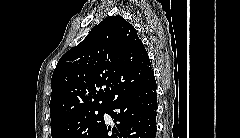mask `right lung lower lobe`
<instances>
[{"label":"right lung lower lobe","instance_id":"1","mask_svg":"<svg viewBox=\"0 0 240 138\" xmlns=\"http://www.w3.org/2000/svg\"><path fill=\"white\" fill-rule=\"evenodd\" d=\"M157 85L154 74L136 88L118 96L107 114L116 128L104 124L94 138H155ZM118 109L119 112H113Z\"/></svg>","mask_w":240,"mask_h":138}]
</instances>
